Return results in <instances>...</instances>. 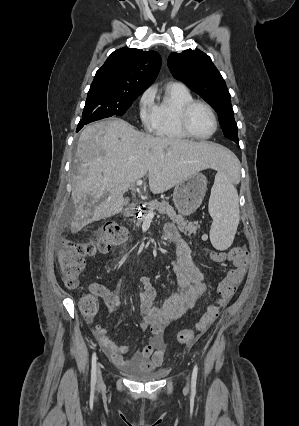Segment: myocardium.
<instances>
[{
  "label": "myocardium",
  "mask_w": 299,
  "mask_h": 426,
  "mask_svg": "<svg viewBox=\"0 0 299 426\" xmlns=\"http://www.w3.org/2000/svg\"><path fill=\"white\" fill-rule=\"evenodd\" d=\"M198 105L204 106L206 109H208V111L211 113L213 121H214L213 131L206 136H200V135L195 134L190 127L189 119H190L191 112ZM180 126H181V129L183 130V132L188 137L198 139V140H206V139H209L216 134V132L218 131V127H219V122H218V117H217V114H216L214 108L209 103H207L203 100L193 99L192 101L186 103L181 110Z\"/></svg>",
  "instance_id": "myocardium-1"
}]
</instances>
